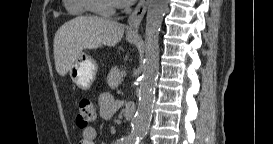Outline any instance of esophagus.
Listing matches in <instances>:
<instances>
[{
    "label": "esophagus",
    "mask_w": 273,
    "mask_h": 144,
    "mask_svg": "<svg viewBox=\"0 0 273 144\" xmlns=\"http://www.w3.org/2000/svg\"><path fill=\"white\" fill-rule=\"evenodd\" d=\"M149 0H140L128 18L127 34L137 36L141 21L146 13Z\"/></svg>",
    "instance_id": "34e87169"
}]
</instances>
